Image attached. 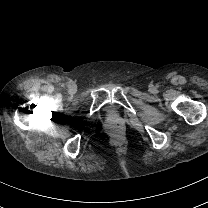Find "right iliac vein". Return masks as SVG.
<instances>
[{"label":"right iliac vein","instance_id":"63e3f726","mask_svg":"<svg viewBox=\"0 0 208 208\" xmlns=\"http://www.w3.org/2000/svg\"><path fill=\"white\" fill-rule=\"evenodd\" d=\"M69 92L71 94H74L76 92V87L75 86H71L70 89H69Z\"/></svg>","mask_w":208,"mask_h":208}]
</instances>
